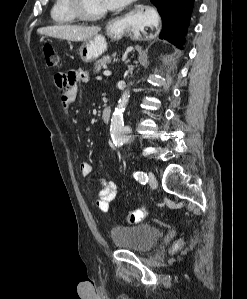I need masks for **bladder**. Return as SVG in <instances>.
Wrapping results in <instances>:
<instances>
[{
  "instance_id": "obj_1",
  "label": "bladder",
  "mask_w": 247,
  "mask_h": 299,
  "mask_svg": "<svg viewBox=\"0 0 247 299\" xmlns=\"http://www.w3.org/2000/svg\"><path fill=\"white\" fill-rule=\"evenodd\" d=\"M161 230L149 224L115 226L110 237L115 247L138 253L150 251L161 237Z\"/></svg>"
}]
</instances>
